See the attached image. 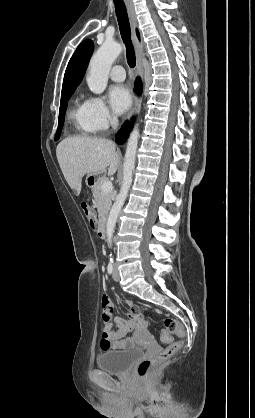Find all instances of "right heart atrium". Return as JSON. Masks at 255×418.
Instances as JSON below:
<instances>
[{
	"instance_id": "right-heart-atrium-1",
	"label": "right heart atrium",
	"mask_w": 255,
	"mask_h": 418,
	"mask_svg": "<svg viewBox=\"0 0 255 418\" xmlns=\"http://www.w3.org/2000/svg\"><path fill=\"white\" fill-rule=\"evenodd\" d=\"M87 120L93 131H103L116 118L101 97H90L86 100Z\"/></svg>"
}]
</instances>
